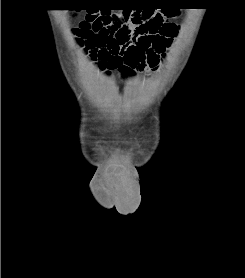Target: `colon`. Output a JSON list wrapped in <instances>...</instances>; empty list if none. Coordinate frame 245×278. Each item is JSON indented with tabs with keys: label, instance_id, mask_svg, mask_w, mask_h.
I'll use <instances>...</instances> for the list:
<instances>
[{
	"label": "colon",
	"instance_id": "1",
	"mask_svg": "<svg viewBox=\"0 0 245 278\" xmlns=\"http://www.w3.org/2000/svg\"><path fill=\"white\" fill-rule=\"evenodd\" d=\"M72 32L77 38L79 33H86L89 40L87 48L93 57H97L104 54L100 47L109 36H115L122 46L137 38L143 47L152 45L150 54L163 53L176 34V27L151 8H133L115 15H99L91 22H82ZM93 42L98 44V49Z\"/></svg>",
	"mask_w": 245,
	"mask_h": 278
}]
</instances>
